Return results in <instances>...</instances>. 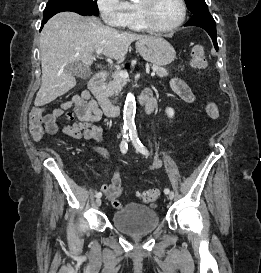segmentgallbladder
Returning <instances> with one entry per match:
<instances>
[{"mask_svg": "<svg viewBox=\"0 0 261 273\" xmlns=\"http://www.w3.org/2000/svg\"><path fill=\"white\" fill-rule=\"evenodd\" d=\"M65 72L74 76L80 77L83 80H88L91 77V71L84 68L80 62H73L65 67Z\"/></svg>", "mask_w": 261, "mask_h": 273, "instance_id": "bac80fb5", "label": "gallbladder"}]
</instances>
